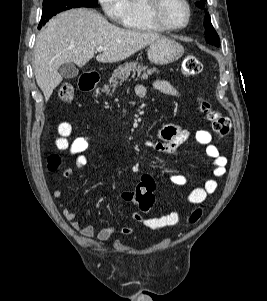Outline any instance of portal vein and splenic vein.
<instances>
[{
	"label": "portal vein and splenic vein",
	"mask_w": 267,
	"mask_h": 301,
	"mask_svg": "<svg viewBox=\"0 0 267 301\" xmlns=\"http://www.w3.org/2000/svg\"><path fill=\"white\" fill-rule=\"evenodd\" d=\"M104 50H106L105 47H102V46L97 47V51H98V52H102V51H104Z\"/></svg>",
	"instance_id": "18ae733b"
}]
</instances>
